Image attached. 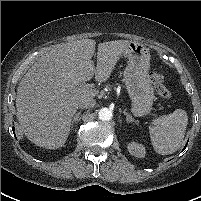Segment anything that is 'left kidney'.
<instances>
[{"mask_svg":"<svg viewBox=\"0 0 201 201\" xmlns=\"http://www.w3.org/2000/svg\"><path fill=\"white\" fill-rule=\"evenodd\" d=\"M127 148L130 154L135 157L143 158L145 156L146 151L142 144L130 142L128 143Z\"/></svg>","mask_w":201,"mask_h":201,"instance_id":"1","label":"left kidney"}]
</instances>
